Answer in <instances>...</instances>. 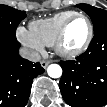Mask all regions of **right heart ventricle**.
<instances>
[{
  "label": "right heart ventricle",
  "instance_id": "e07e8e85",
  "mask_svg": "<svg viewBox=\"0 0 107 107\" xmlns=\"http://www.w3.org/2000/svg\"><path fill=\"white\" fill-rule=\"evenodd\" d=\"M75 13L62 11L49 18L32 21L30 31L44 46H53L63 24Z\"/></svg>",
  "mask_w": 107,
  "mask_h": 107
}]
</instances>
